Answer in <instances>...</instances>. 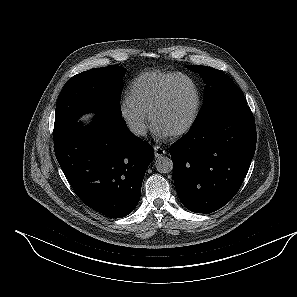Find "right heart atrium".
Here are the masks:
<instances>
[{
    "label": "right heart atrium",
    "instance_id": "d8ad5b80",
    "mask_svg": "<svg viewBox=\"0 0 297 297\" xmlns=\"http://www.w3.org/2000/svg\"><path fill=\"white\" fill-rule=\"evenodd\" d=\"M120 116L132 134L142 137L148 128V117L129 97L121 100L119 105Z\"/></svg>",
    "mask_w": 297,
    "mask_h": 297
}]
</instances>
